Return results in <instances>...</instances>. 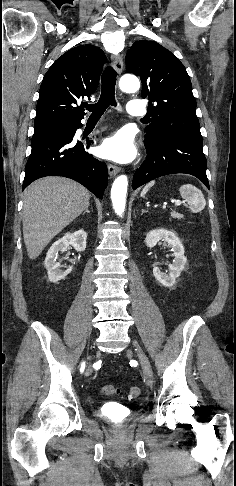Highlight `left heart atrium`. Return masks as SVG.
<instances>
[{
    "label": "left heart atrium",
    "instance_id": "left-heart-atrium-1",
    "mask_svg": "<svg viewBox=\"0 0 236 486\" xmlns=\"http://www.w3.org/2000/svg\"><path fill=\"white\" fill-rule=\"evenodd\" d=\"M99 153L101 157L119 163L132 161L137 155V148L132 137L119 131L103 140Z\"/></svg>",
    "mask_w": 236,
    "mask_h": 486
}]
</instances>
